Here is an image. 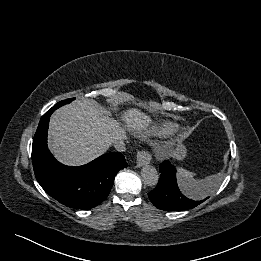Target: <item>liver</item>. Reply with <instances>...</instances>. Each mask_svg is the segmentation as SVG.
Segmentation results:
<instances>
[{"instance_id": "liver-1", "label": "liver", "mask_w": 261, "mask_h": 261, "mask_svg": "<svg viewBox=\"0 0 261 261\" xmlns=\"http://www.w3.org/2000/svg\"><path fill=\"white\" fill-rule=\"evenodd\" d=\"M120 122L104 115L94 100L82 98L58 109L49 124V147L63 164L78 166L104 154L113 141L125 137V129H144L150 116L137 108L124 112Z\"/></svg>"}]
</instances>
